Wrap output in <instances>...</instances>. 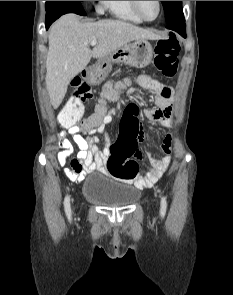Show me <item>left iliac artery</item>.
Returning <instances> with one entry per match:
<instances>
[{
    "label": "left iliac artery",
    "mask_w": 233,
    "mask_h": 295,
    "mask_svg": "<svg viewBox=\"0 0 233 295\" xmlns=\"http://www.w3.org/2000/svg\"><path fill=\"white\" fill-rule=\"evenodd\" d=\"M166 209H167L166 198L165 197H162L161 198V208H160L161 217H164L165 216Z\"/></svg>",
    "instance_id": "obj_1"
}]
</instances>
